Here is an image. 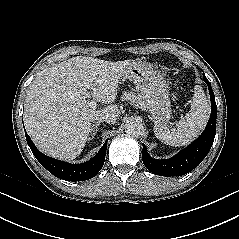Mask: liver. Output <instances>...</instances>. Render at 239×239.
Instances as JSON below:
<instances>
[{
  "label": "liver",
  "instance_id": "6515ba94",
  "mask_svg": "<svg viewBox=\"0 0 239 239\" xmlns=\"http://www.w3.org/2000/svg\"><path fill=\"white\" fill-rule=\"evenodd\" d=\"M129 63L77 56L39 72L29 86L24 109L25 128L38 149L66 161L79 156L93 118L119 116L118 107L112 103ZM88 97L110 105L96 110L86 101Z\"/></svg>",
  "mask_w": 239,
  "mask_h": 239
}]
</instances>
